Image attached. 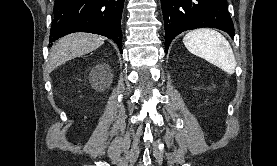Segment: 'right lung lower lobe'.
<instances>
[{
  "label": "right lung lower lobe",
  "mask_w": 277,
  "mask_h": 166,
  "mask_svg": "<svg viewBox=\"0 0 277 166\" xmlns=\"http://www.w3.org/2000/svg\"><path fill=\"white\" fill-rule=\"evenodd\" d=\"M123 6L124 0H56L49 41L74 32H89L114 40L122 51Z\"/></svg>",
  "instance_id": "obj_1"
}]
</instances>
